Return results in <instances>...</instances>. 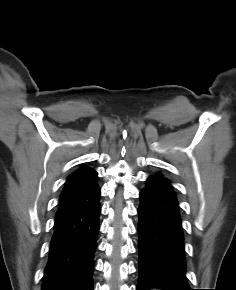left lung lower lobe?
I'll return each instance as SVG.
<instances>
[{"mask_svg": "<svg viewBox=\"0 0 236 290\" xmlns=\"http://www.w3.org/2000/svg\"><path fill=\"white\" fill-rule=\"evenodd\" d=\"M146 182L138 208L137 290H191L185 276L184 238L175 192L162 175Z\"/></svg>", "mask_w": 236, "mask_h": 290, "instance_id": "0a47b994", "label": "left lung lower lobe"}]
</instances>
